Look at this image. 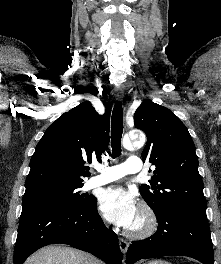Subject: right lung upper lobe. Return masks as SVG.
Returning <instances> with one entry per match:
<instances>
[{
    "mask_svg": "<svg viewBox=\"0 0 221 264\" xmlns=\"http://www.w3.org/2000/svg\"><path fill=\"white\" fill-rule=\"evenodd\" d=\"M109 104L99 115L84 102L61 115L45 131L30 161L25 187L54 183H82L89 176L84 166L101 159L109 144Z\"/></svg>",
    "mask_w": 221,
    "mask_h": 264,
    "instance_id": "right-lung-upper-lobe-1",
    "label": "right lung upper lobe"
}]
</instances>
